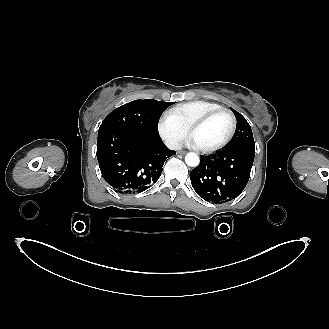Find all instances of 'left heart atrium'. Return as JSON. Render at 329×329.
<instances>
[{
	"label": "left heart atrium",
	"mask_w": 329,
	"mask_h": 329,
	"mask_svg": "<svg viewBox=\"0 0 329 329\" xmlns=\"http://www.w3.org/2000/svg\"><path fill=\"white\" fill-rule=\"evenodd\" d=\"M188 142H189V144H190L191 146L198 147L196 141H195L192 137L189 139Z\"/></svg>",
	"instance_id": "39dd6f15"
}]
</instances>
